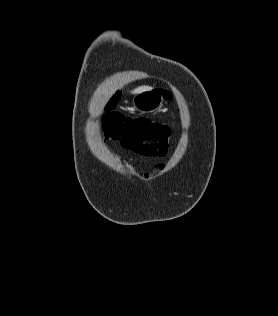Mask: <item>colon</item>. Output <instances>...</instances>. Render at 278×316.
Wrapping results in <instances>:
<instances>
[{
	"label": "colon",
	"instance_id": "obj_1",
	"mask_svg": "<svg viewBox=\"0 0 278 316\" xmlns=\"http://www.w3.org/2000/svg\"><path fill=\"white\" fill-rule=\"evenodd\" d=\"M102 129L106 138L133 152L146 156H164L168 151L171 131L166 125L111 111L103 117Z\"/></svg>",
	"mask_w": 278,
	"mask_h": 316
}]
</instances>
